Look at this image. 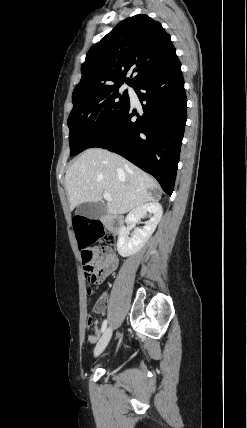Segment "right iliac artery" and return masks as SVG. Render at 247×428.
<instances>
[{"label": "right iliac artery", "instance_id": "obj_1", "mask_svg": "<svg viewBox=\"0 0 247 428\" xmlns=\"http://www.w3.org/2000/svg\"><path fill=\"white\" fill-rule=\"evenodd\" d=\"M107 327V320H104L101 327V332H104Z\"/></svg>", "mask_w": 247, "mask_h": 428}]
</instances>
